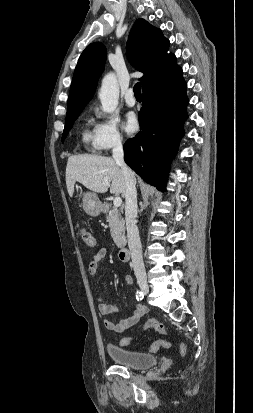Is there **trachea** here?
Segmentation results:
<instances>
[{"label":"trachea","instance_id":"trachea-1","mask_svg":"<svg viewBox=\"0 0 253 413\" xmlns=\"http://www.w3.org/2000/svg\"><path fill=\"white\" fill-rule=\"evenodd\" d=\"M133 91H134V95H135L136 98H142L141 83L140 82L135 84V86L133 88Z\"/></svg>","mask_w":253,"mask_h":413}]
</instances>
